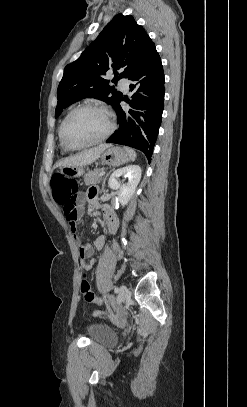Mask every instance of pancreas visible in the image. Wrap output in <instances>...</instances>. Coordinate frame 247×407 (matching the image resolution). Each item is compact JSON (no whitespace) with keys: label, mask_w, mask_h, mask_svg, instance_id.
I'll return each instance as SVG.
<instances>
[{"label":"pancreas","mask_w":247,"mask_h":407,"mask_svg":"<svg viewBox=\"0 0 247 407\" xmlns=\"http://www.w3.org/2000/svg\"><path fill=\"white\" fill-rule=\"evenodd\" d=\"M103 171L102 169L96 168L93 171L88 172L84 176V183L86 185L90 184H97L101 181L102 177L99 176L100 172Z\"/></svg>","instance_id":"1"}]
</instances>
